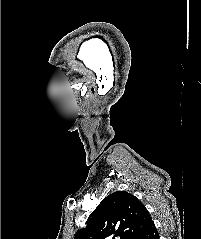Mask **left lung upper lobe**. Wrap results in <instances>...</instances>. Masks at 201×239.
I'll list each match as a JSON object with an SVG mask.
<instances>
[{
	"mask_svg": "<svg viewBox=\"0 0 201 239\" xmlns=\"http://www.w3.org/2000/svg\"><path fill=\"white\" fill-rule=\"evenodd\" d=\"M150 220L137 197L117 191L101 201L74 239H134Z\"/></svg>",
	"mask_w": 201,
	"mask_h": 239,
	"instance_id": "obj_1",
	"label": "left lung upper lobe"
}]
</instances>
